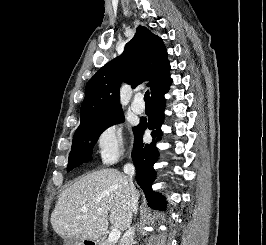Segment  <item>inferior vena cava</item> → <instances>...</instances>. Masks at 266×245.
<instances>
[{"label": "inferior vena cava", "instance_id": "1", "mask_svg": "<svg viewBox=\"0 0 266 245\" xmlns=\"http://www.w3.org/2000/svg\"><path fill=\"white\" fill-rule=\"evenodd\" d=\"M123 171L129 179V195L132 199V205H131L132 211H133V213H135V215H137V211H138V197H137V195H138V193L134 187V183H133V179H132L133 175H135V167H134V165H131V163H127V165H124ZM134 235H135V229H134V227H130L129 231H126V233H124V235L121 239L120 245H133Z\"/></svg>", "mask_w": 266, "mask_h": 245}]
</instances>
